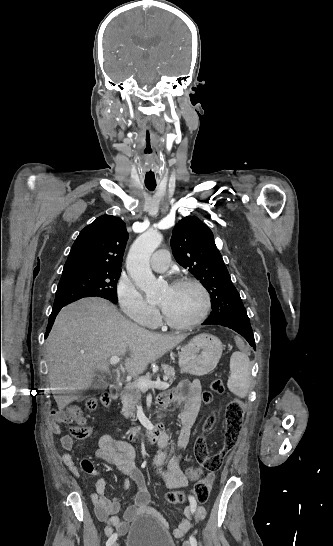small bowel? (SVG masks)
I'll return each instance as SVG.
<instances>
[{"label": "small bowel", "mask_w": 333, "mask_h": 546, "mask_svg": "<svg viewBox=\"0 0 333 546\" xmlns=\"http://www.w3.org/2000/svg\"><path fill=\"white\" fill-rule=\"evenodd\" d=\"M234 339L236 340V347L242 349L243 354H248L249 348L245 347L246 342L241 338V334L235 333ZM158 404L161 410L167 409L169 405L180 404H184V409L180 415L182 426L176 446L172 447L170 445L169 435L165 431L157 440L159 451L153 459L156 476L166 488H183L188 485L189 480L196 481L199 477H203L210 488L214 479L213 472L207 474L200 472L198 475L187 476L179 467V461L189 444L192 429L200 413V382L198 380L181 382L173 392L162 394L158 399ZM56 417L57 415L51 418L52 426ZM61 417L65 423L72 420L77 421L79 424H85L86 422L80 411L78 415L66 413L61 415ZM60 443L64 449V452L61 454V460L75 476H78L79 467L77 462L69 454L74 448V441L68 435H63L60 438ZM96 456L111 464L118 473L124 476L123 483L125 487L129 486L130 480H133L138 487L134 503L126 509L123 517L120 518L116 515L120 508L119 502L116 499L106 497L105 481L103 479L97 480L95 490L91 493L90 499L95 507L97 518L106 524V533H110L112 529L121 534L124 533L128 522L136 520L145 513H151L165 528H168L165 518L152 506L144 476L134 463L135 450L133 446L113 436L103 435L99 439ZM79 465L85 472H93V465L90 460L84 458L80 460ZM184 514L185 517L181 519L178 527L173 530V534L176 537L183 536L191 529L194 522L204 519L206 511L191 499L189 506L184 510Z\"/></svg>", "instance_id": "c3829d8e"}]
</instances>
